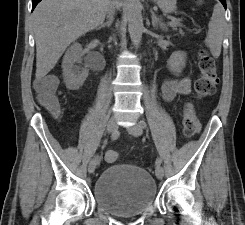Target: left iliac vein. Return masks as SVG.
I'll use <instances>...</instances> for the list:
<instances>
[{"instance_id":"4c4485c4","label":"left iliac vein","mask_w":245,"mask_h":225,"mask_svg":"<svg viewBox=\"0 0 245 225\" xmlns=\"http://www.w3.org/2000/svg\"><path fill=\"white\" fill-rule=\"evenodd\" d=\"M128 131L130 132L131 135H133L135 137H138V136H140L142 134L143 128L140 125V123H136V124L128 127ZM155 174H156V177L158 179H162L163 176H164L163 167H161V166L156 167Z\"/></svg>"}]
</instances>
